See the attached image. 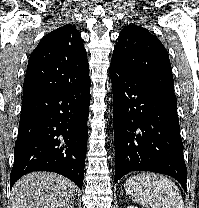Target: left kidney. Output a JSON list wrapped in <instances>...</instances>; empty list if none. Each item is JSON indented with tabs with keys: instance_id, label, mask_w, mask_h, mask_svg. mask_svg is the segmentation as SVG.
<instances>
[{
	"instance_id": "1",
	"label": "left kidney",
	"mask_w": 199,
	"mask_h": 208,
	"mask_svg": "<svg viewBox=\"0 0 199 208\" xmlns=\"http://www.w3.org/2000/svg\"><path fill=\"white\" fill-rule=\"evenodd\" d=\"M127 208H138L137 206L130 205Z\"/></svg>"
}]
</instances>
